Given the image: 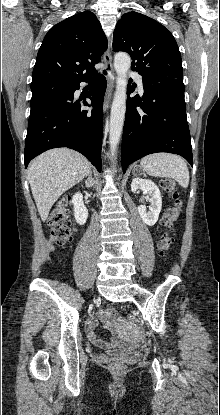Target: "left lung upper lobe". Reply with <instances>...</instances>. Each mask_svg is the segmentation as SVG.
Returning <instances> with one entry per match:
<instances>
[{
  "label": "left lung upper lobe",
  "mask_w": 220,
  "mask_h": 415,
  "mask_svg": "<svg viewBox=\"0 0 220 415\" xmlns=\"http://www.w3.org/2000/svg\"><path fill=\"white\" fill-rule=\"evenodd\" d=\"M113 49L132 58L131 68L141 75L183 78L181 54L173 35L154 19L125 13L116 25Z\"/></svg>",
  "instance_id": "left-lung-upper-lobe-1"
}]
</instances>
